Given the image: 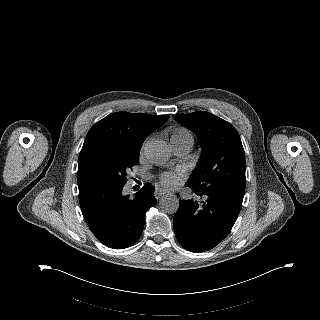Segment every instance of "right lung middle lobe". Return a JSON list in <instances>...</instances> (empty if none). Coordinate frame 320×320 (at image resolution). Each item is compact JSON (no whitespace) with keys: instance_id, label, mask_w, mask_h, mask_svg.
I'll return each instance as SVG.
<instances>
[{"instance_id":"1","label":"right lung middle lobe","mask_w":320,"mask_h":320,"mask_svg":"<svg viewBox=\"0 0 320 320\" xmlns=\"http://www.w3.org/2000/svg\"><path fill=\"white\" fill-rule=\"evenodd\" d=\"M139 149L100 150L88 161L86 171L90 177L125 184L127 170L139 162Z\"/></svg>"}]
</instances>
